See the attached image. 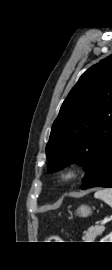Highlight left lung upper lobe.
Segmentation results:
<instances>
[{"label":"left lung upper lobe","instance_id":"1","mask_svg":"<svg viewBox=\"0 0 112 270\" xmlns=\"http://www.w3.org/2000/svg\"><path fill=\"white\" fill-rule=\"evenodd\" d=\"M112 145V55L90 67L72 88L53 123L48 171L78 163L90 180Z\"/></svg>","mask_w":112,"mask_h":270}]
</instances>
